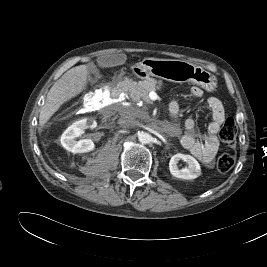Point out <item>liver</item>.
Segmentation results:
<instances>
[{
  "mask_svg": "<svg viewBox=\"0 0 267 267\" xmlns=\"http://www.w3.org/2000/svg\"><path fill=\"white\" fill-rule=\"evenodd\" d=\"M90 75L87 65L71 68L50 88L39 115V125L43 127L62 104L76 97L87 87Z\"/></svg>",
  "mask_w": 267,
  "mask_h": 267,
  "instance_id": "6515ba94",
  "label": "liver"
}]
</instances>
